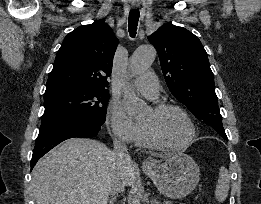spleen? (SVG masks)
<instances>
[{"label":"spleen","mask_w":261,"mask_h":204,"mask_svg":"<svg viewBox=\"0 0 261 204\" xmlns=\"http://www.w3.org/2000/svg\"><path fill=\"white\" fill-rule=\"evenodd\" d=\"M230 185V176L228 170L225 167H220L219 178L215 190V198L219 202H223L228 196Z\"/></svg>","instance_id":"obj_1"}]
</instances>
